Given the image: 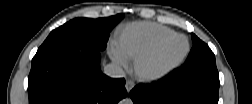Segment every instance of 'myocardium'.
<instances>
[{
  "label": "myocardium",
  "instance_id": "obj_1",
  "mask_svg": "<svg viewBox=\"0 0 252 104\" xmlns=\"http://www.w3.org/2000/svg\"><path fill=\"white\" fill-rule=\"evenodd\" d=\"M176 37H183L186 40V47L184 51L176 58L162 61L156 63L154 66L149 67L148 63L152 60L154 56L157 55V53L172 39ZM189 52V41L186 36L183 34H172L168 37H165L158 42H156L152 47H150L148 50H146L144 53L139 55L134 62V69L136 74L145 80H151L158 78L171 69L177 67L181 64V62L184 60V58L187 56Z\"/></svg>",
  "mask_w": 252,
  "mask_h": 104
}]
</instances>
